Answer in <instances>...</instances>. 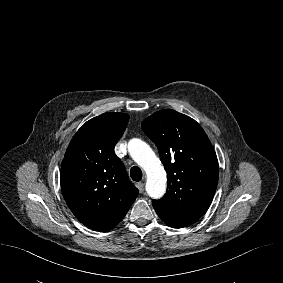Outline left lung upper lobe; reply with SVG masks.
Returning <instances> with one entry per match:
<instances>
[{
	"mask_svg": "<svg viewBox=\"0 0 283 283\" xmlns=\"http://www.w3.org/2000/svg\"><path fill=\"white\" fill-rule=\"evenodd\" d=\"M141 125L168 175L166 194L152 201L156 213L173 228L193 224L208 210L218 184L212 144L195 120L171 109L154 113Z\"/></svg>",
	"mask_w": 283,
	"mask_h": 283,
	"instance_id": "obj_1",
	"label": "left lung upper lobe"
}]
</instances>
